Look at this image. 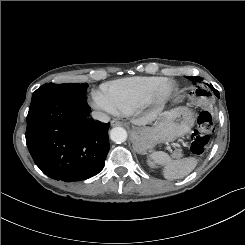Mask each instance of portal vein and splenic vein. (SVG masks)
<instances>
[{"mask_svg": "<svg viewBox=\"0 0 245 245\" xmlns=\"http://www.w3.org/2000/svg\"><path fill=\"white\" fill-rule=\"evenodd\" d=\"M167 149L170 150V151H172V150H171V147H169V146H167Z\"/></svg>", "mask_w": 245, "mask_h": 245, "instance_id": "obj_1", "label": "portal vein and splenic vein"}]
</instances>
